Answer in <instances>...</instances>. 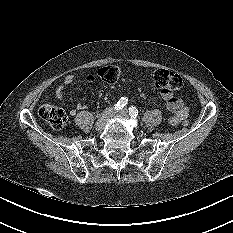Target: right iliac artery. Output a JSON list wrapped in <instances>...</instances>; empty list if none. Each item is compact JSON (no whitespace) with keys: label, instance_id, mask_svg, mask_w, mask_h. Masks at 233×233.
I'll return each mask as SVG.
<instances>
[{"label":"right iliac artery","instance_id":"right-iliac-artery-1","mask_svg":"<svg viewBox=\"0 0 233 233\" xmlns=\"http://www.w3.org/2000/svg\"><path fill=\"white\" fill-rule=\"evenodd\" d=\"M128 103V98L126 97H122L119 99V101L115 104L114 109L115 110H120L122 108H124L126 106V104Z\"/></svg>","mask_w":233,"mask_h":233}]
</instances>
